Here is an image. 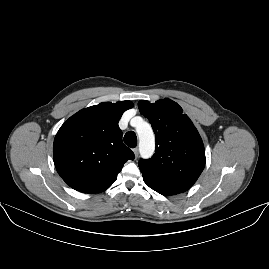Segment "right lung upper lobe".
Wrapping results in <instances>:
<instances>
[{
  "mask_svg": "<svg viewBox=\"0 0 269 269\" xmlns=\"http://www.w3.org/2000/svg\"><path fill=\"white\" fill-rule=\"evenodd\" d=\"M132 107L130 101L103 102L77 112L61 126L54 139V164L70 187L102 192L116 181L124 163L134 159L118 126Z\"/></svg>",
  "mask_w": 269,
  "mask_h": 269,
  "instance_id": "right-lung-upper-lobe-1",
  "label": "right lung upper lobe"
}]
</instances>
